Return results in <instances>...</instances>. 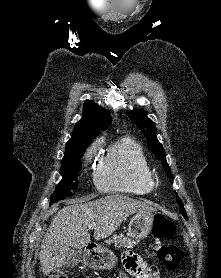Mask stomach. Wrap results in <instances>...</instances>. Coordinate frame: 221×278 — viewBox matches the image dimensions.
<instances>
[{
  "label": "stomach",
  "mask_w": 221,
  "mask_h": 278,
  "mask_svg": "<svg viewBox=\"0 0 221 278\" xmlns=\"http://www.w3.org/2000/svg\"><path fill=\"white\" fill-rule=\"evenodd\" d=\"M154 215L152 213H137L129 222L128 235L135 241L146 238L153 228ZM87 264L98 270H107L115 267L117 257L104 247H98L94 254L87 256Z\"/></svg>",
  "instance_id": "stomach-1"
}]
</instances>
